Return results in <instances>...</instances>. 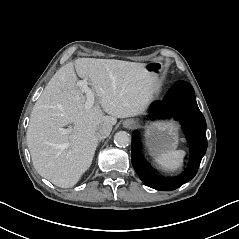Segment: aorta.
<instances>
[{
    "mask_svg": "<svg viewBox=\"0 0 239 239\" xmlns=\"http://www.w3.org/2000/svg\"><path fill=\"white\" fill-rule=\"evenodd\" d=\"M114 142L119 147H127L131 144V137L125 131H119L114 136Z\"/></svg>",
    "mask_w": 239,
    "mask_h": 239,
    "instance_id": "1",
    "label": "aorta"
}]
</instances>
